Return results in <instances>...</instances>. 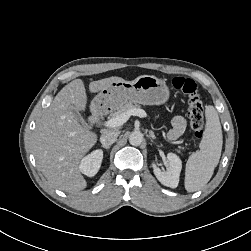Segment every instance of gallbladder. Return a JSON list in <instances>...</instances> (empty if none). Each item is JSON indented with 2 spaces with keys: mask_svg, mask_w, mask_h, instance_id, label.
Segmentation results:
<instances>
[{
  "mask_svg": "<svg viewBox=\"0 0 251 251\" xmlns=\"http://www.w3.org/2000/svg\"><path fill=\"white\" fill-rule=\"evenodd\" d=\"M70 111L72 112L76 120H78L82 125H86V121L83 119L81 114L75 108H71Z\"/></svg>",
  "mask_w": 251,
  "mask_h": 251,
  "instance_id": "bac80fb5",
  "label": "gallbladder"
}]
</instances>
